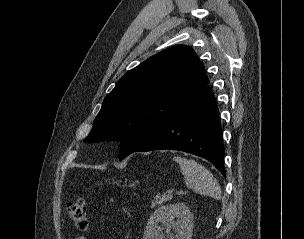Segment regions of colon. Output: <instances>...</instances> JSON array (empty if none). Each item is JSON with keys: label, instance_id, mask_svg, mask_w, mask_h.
Listing matches in <instances>:
<instances>
[{"label": "colon", "instance_id": "obj_1", "mask_svg": "<svg viewBox=\"0 0 304 239\" xmlns=\"http://www.w3.org/2000/svg\"><path fill=\"white\" fill-rule=\"evenodd\" d=\"M67 212L69 218L73 221L76 228L83 232L89 231V220L87 206L84 199L79 198L68 204Z\"/></svg>", "mask_w": 304, "mask_h": 239}]
</instances>
